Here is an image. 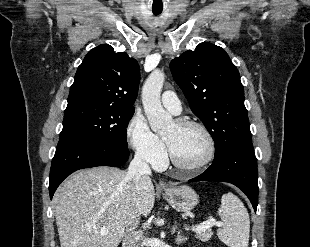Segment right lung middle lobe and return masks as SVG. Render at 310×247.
<instances>
[{
    "label": "right lung middle lobe",
    "instance_id": "dd1d6c3e",
    "mask_svg": "<svg viewBox=\"0 0 310 247\" xmlns=\"http://www.w3.org/2000/svg\"><path fill=\"white\" fill-rule=\"evenodd\" d=\"M134 110L79 107L66 109L59 141L87 139L115 148H127L128 122Z\"/></svg>",
    "mask_w": 310,
    "mask_h": 247
}]
</instances>
